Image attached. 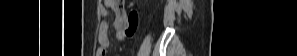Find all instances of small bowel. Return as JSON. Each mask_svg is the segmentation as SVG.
<instances>
[{
  "instance_id": "c3829d8e",
  "label": "small bowel",
  "mask_w": 297,
  "mask_h": 56,
  "mask_svg": "<svg viewBox=\"0 0 297 56\" xmlns=\"http://www.w3.org/2000/svg\"><path fill=\"white\" fill-rule=\"evenodd\" d=\"M108 10H110L114 16L113 25L116 30L117 39L124 40L132 36L138 24L137 14L133 12L129 15V17L125 16L122 10V4L115 0L104 1V8L101 11L102 15H107ZM98 42L99 48L97 55L105 56L110 45L108 37V24L106 22L101 24Z\"/></svg>"
}]
</instances>
